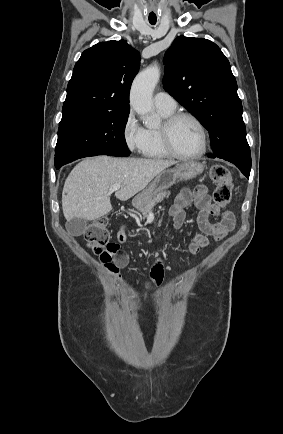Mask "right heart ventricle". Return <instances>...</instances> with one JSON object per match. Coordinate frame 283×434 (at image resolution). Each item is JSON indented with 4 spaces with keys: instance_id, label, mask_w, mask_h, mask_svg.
I'll use <instances>...</instances> for the list:
<instances>
[{
    "instance_id": "e07e8e85",
    "label": "right heart ventricle",
    "mask_w": 283,
    "mask_h": 434,
    "mask_svg": "<svg viewBox=\"0 0 283 434\" xmlns=\"http://www.w3.org/2000/svg\"><path fill=\"white\" fill-rule=\"evenodd\" d=\"M158 112L160 116L165 119L174 111H165L158 109ZM142 154L145 157L151 159H162L169 156L162 144L160 128L146 129V141L142 150Z\"/></svg>"
}]
</instances>
